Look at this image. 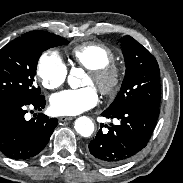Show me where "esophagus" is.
Listing matches in <instances>:
<instances>
[{
  "label": "esophagus",
  "instance_id": "obj_1",
  "mask_svg": "<svg viewBox=\"0 0 183 183\" xmlns=\"http://www.w3.org/2000/svg\"><path fill=\"white\" fill-rule=\"evenodd\" d=\"M72 119H74V117H71V116H61V117H59V121H61V122L69 121V120H72Z\"/></svg>",
  "mask_w": 183,
  "mask_h": 183
}]
</instances>
